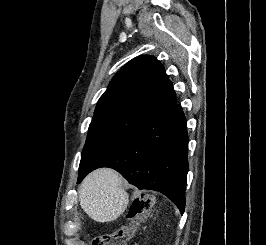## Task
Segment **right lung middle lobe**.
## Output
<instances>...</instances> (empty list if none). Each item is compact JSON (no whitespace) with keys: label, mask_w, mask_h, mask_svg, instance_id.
Instances as JSON below:
<instances>
[{"label":"right lung middle lobe","mask_w":266,"mask_h":245,"mask_svg":"<svg viewBox=\"0 0 266 245\" xmlns=\"http://www.w3.org/2000/svg\"><path fill=\"white\" fill-rule=\"evenodd\" d=\"M141 121L140 119L122 115L104 114L94 116L82 151L79 175L100 155L117 144Z\"/></svg>","instance_id":"right-lung-middle-lobe-1"}]
</instances>
